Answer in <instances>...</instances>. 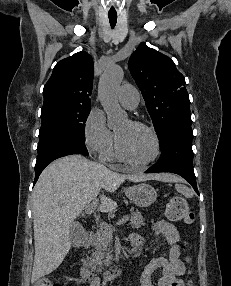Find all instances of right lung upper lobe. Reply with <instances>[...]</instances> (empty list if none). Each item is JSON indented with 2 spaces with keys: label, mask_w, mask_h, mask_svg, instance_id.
Listing matches in <instances>:
<instances>
[{
  "label": "right lung upper lobe",
  "mask_w": 231,
  "mask_h": 286,
  "mask_svg": "<svg viewBox=\"0 0 231 286\" xmlns=\"http://www.w3.org/2000/svg\"><path fill=\"white\" fill-rule=\"evenodd\" d=\"M92 85V57L86 52H78L55 65L43 89V106L57 103L90 105Z\"/></svg>",
  "instance_id": "cb5924a9"
}]
</instances>
